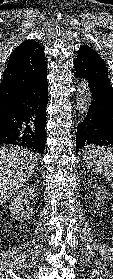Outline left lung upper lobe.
Masks as SVG:
<instances>
[{"label":"left lung upper lobe","mask_w":113,"mask_h":279,"mask_svg":"<svg viewBox=\"0 0 113 279\" xmlns=\"http://www.w3.org/2000/svg\"><path fill=\"white\" fill-rule=\"evenodd\" d=\"M79 50H84L85 52H87L89 54H92V55H95V56H98L99 58H101L99 56V54L96 51H94L91 47H89L88 45L81 46Z\"/></svg>","instance_id":"left-lung-upper-lobe-1"}]
</instances>
